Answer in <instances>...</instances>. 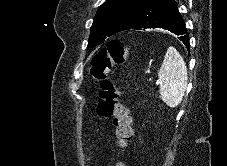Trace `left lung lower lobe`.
Here are the masks:
<instances>
[{
	"label": "left lung lower lobe",
	"mask_w": 227,
	"mask_h": 166,
	"mask_svg": "<svg viewBox=\"0 0 227 166\" xmlns=\"http://www.w3.org/2000/svg\"><path fill=\"white\" fill-rule=\"evenodd\" d=\"M163 28L176 35L189 50V36L174 0H147L138 13L133 30Z\"/></svg>",
	"instance_id": "0a47b994"
}]
</instances>
